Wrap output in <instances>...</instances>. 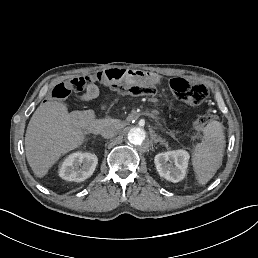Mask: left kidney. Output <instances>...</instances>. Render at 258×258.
Instances as JSON below:
<instances>
[{"mask_svg": "<svg viewBox=\"0 0 258 258\" xmlns=\"http://www.w3.org/2000/svg\"><path fill=\"white\" fill-rule=\"evenodd\" d=\"M190 153L184 149L169 150L156 154L154 163L160 177L178 183L186 177ZM169 161L175 162V167L168 164Z\"/></svg>", "mask_w": 258, "mask_h": 258, "instance_id": "1", "label": "left kidney"}]
</instances>
